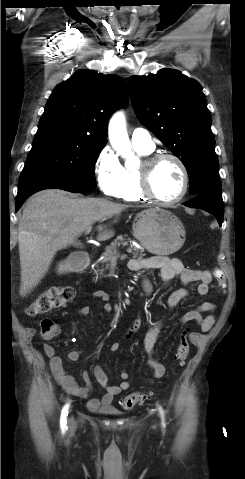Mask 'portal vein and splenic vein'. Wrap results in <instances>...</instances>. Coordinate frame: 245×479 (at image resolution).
Returning <instances> with one entry per match:
<instances>
[{
  "label": "portal vein and splenic vein",
  "instance_id": "obj_1",
  "mask_svg": "<svg viewBox=\"0 0 245 479\" xmlns=\"http://www.w3.org/2000/svg\"><path fill=\"white\" fill-rule=\"evenodd\" d=\"M90 231H91V229H88V230L86 231V233L88 234ZM129 252H131V251H129ZM114 258H116V256H115Z\"/></svg>",
  "mask_w": 245,
  "mask_h": 479
}]
</instances>
